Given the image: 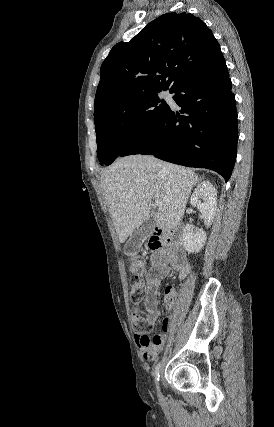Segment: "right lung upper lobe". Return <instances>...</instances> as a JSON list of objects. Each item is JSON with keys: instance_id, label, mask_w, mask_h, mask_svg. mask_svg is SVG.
Returning <instances> with one entry per match:
<instances>
[{"instance_id": "cb5924a9", "label": "right lung upper lobe", "mask_w": 274, "mask_h": 427, "mask_svg": "<svg viewBox=\"0 0 274 427\" xmlns=\"http://www.w3.org/2000/svg\"><path fill=\"white\" fill-rule=\"evenodd\" d=\"M224 65L220 45L200 18L186 12L164 14L111 49L100 69L94 116L129 97L172 93Z\"/></svg>"}]
</instances>
